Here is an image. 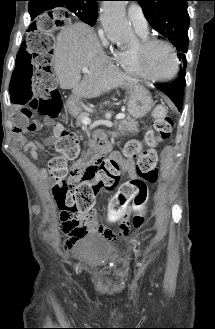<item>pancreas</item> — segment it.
I'll return each mask as SVG.
<instances>
[{"label": "pancreas", "mask_w": 215, "mask_h": 329, "mask_svg": "<svg viewBox=\"0 0 215 329\" xmlns=\"http://www.w3.org/2000/svg\"><path fill=\"white\" fill-rule=\"evenodd\" d=\"M75 118H76V125L77 126H80L82 124V118L85 117V116H89V114L87 112H77L74 114ZM119 131L122 133V134H125L127 132H130V133H138L139 132V129H138V123L132 119V118H126L124 120H122L120 123H119Z\"/></svg>", "instance_id": "obj_1"}]
</instances>
